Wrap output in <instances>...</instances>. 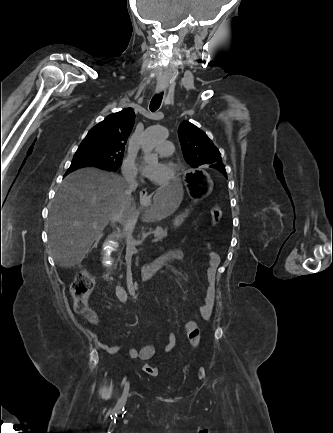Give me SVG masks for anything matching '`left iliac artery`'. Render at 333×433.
Returning <instances> with one entry per match:
<instances>
[{"label":"left iliac artery","mask_w":333,"mask_h":433,"mask_svg":"<svg viewBox=\"0 0 333 433\" xmlns=\"http://www.w3.org/2000/svg\"><path fill=\"white\" fill-rule=\"evenodd\" d=\"M201 372H202V376H204V372H203V370L201 369Z\"/></svg>","instance_id":"obj_1"}]
</instances>
